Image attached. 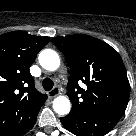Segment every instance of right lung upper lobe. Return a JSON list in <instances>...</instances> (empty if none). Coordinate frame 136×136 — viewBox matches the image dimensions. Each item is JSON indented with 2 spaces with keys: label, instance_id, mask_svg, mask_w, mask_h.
<instances>
[{
  "label": "right lung upper lobe",
  "instance_id": "obj_1",
  "mask_svg": "<svg viewBox=\"0 0 136 136\" xmlns=\"http://www.w3.org/2000/svg\"><path fill=\"white\" fill-rule=\"evenodd\" d=\"M48 42L23 31L0 35V136H20L37 119L47 96L36 90L29 68Z\"/></svg>",
  "mask_w": 136,
  "mask_h": 136
}]
</instances>
